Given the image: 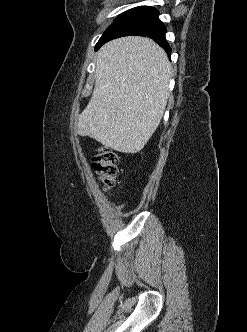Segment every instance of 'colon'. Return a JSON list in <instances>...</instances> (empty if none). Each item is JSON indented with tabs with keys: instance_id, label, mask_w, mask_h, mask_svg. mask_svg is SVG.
<instances>
[{
	"instance_id": "5ec220e1",
	"label": "colon",
	"mask_w": 247,
	"mask_h": 332,
	"mask_svg": "<svg viewBox=\"0 0 247 332\" xmlns=\"http://www.w3.org/2000/svg\"><path fill=\"white\" fill-rule=\"evenodd\" d=\"M92 168L98 175L105 189L114 186L118 176V156L107 147H99L92 158Z\"/></svg>"
}]
</instances>
